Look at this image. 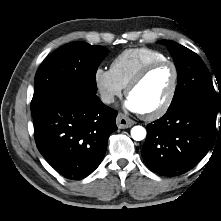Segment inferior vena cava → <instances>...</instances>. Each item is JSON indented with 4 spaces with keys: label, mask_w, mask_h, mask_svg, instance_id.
Wrapping results in <instances>:
<instances>
[{
    "label": "inferior vena cava",
    "mask_w": 221,
    "mask_h": 221,
    "mask_svg": "<svg viewBox=\"0 0 221 221\" xmlns=\"http://www.w3.org/2000/svg\"><path fill=\"white\" fill-rule=\"evenodd\" d=\"M101 101L104 103V104H111L114 102V95L111 94V93H102L101 94Z\"/></svg>",
    "instance_id": "1"
}]
</instances>
